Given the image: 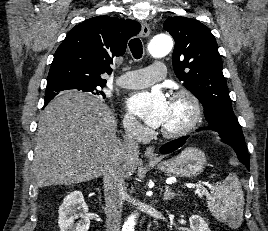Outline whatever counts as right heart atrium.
I'll return each instance as SVG.
<instances>
[{"instance_id":"right-heart-atrium-1","label":"right heart atrium","mask_w":268,"mask_h":231,"mask_svg":"<svg viewBox=\"0 0 268 231\" xmlns=\"http://www.w3.org/2000/svg\"><path fill=\"white\" fill-rule=\"evenodd\" d=\"M123 122L127 130L136 131L142 129L141 124L132 115L128 113L124 115Z\"/></svg>"}]
</instances>
